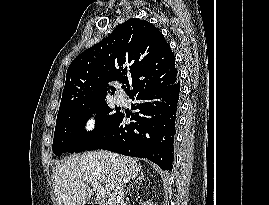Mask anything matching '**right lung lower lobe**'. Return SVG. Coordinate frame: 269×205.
<instances>
[{
    "instance_id": "98d812e1",
    "label": "right lung lower lobe",
    "mask_w": 269,
    "mask_h": 205,
    "mask_svg": "<svg viewBox=\"0 0 269 205\" xmlns=\"http://www.w3.org/2000/svg\"><path fill=\"white\" fill-rule=\"evenodd\" d=\"M180 83L151 88L130 97L136 110L130 124L121 115L86 150L106 149L131 157L147 158L172 171L174 135Z\"/></svg>"
}]
</instances>
